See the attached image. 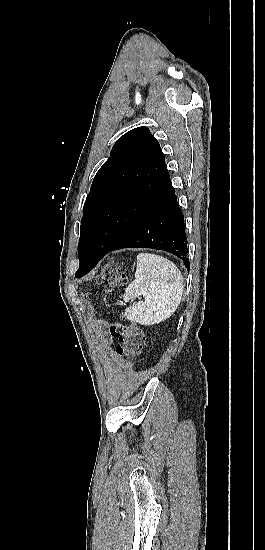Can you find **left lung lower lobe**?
Returning a JSON list of instances; mask_svg holds the SVG:
<instances>
[{
    "instance_id": "1",
    "label": "left lung lower lobe",
    "mask_w": 265,
    "mask_h": 550,
    "mask_svg": "<svg viewBox=\"0 0 265 550\" xmlns=\"http://www.w3.org/2000/svg\"><path fill=\"white\" fill-rule=\"evenodd\" d=\"M134 247L170 252L181 258L189 269L184 217L172 185L111 248L104 252L91 250L80 263L75 276L80 278L87 274L110 251Z\"/></svg>"
}]
</instances>
